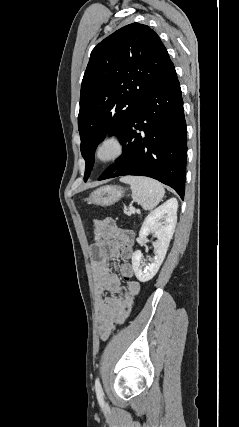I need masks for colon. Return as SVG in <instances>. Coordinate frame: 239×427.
<instances>
[{
	"mask_svg": "<svg viewBox=\"0 0 239 427\" xmlns=\"http://www.w3.org/2000/svg\"><path fill=\"white\" fill-rule=\"evenodd\" d=\"M128 258H123L122 259V266L123 267H125V268H123V270H122V273H123V275H125V276H128V275H130V273H131V270H130V268H128V267H130L131 266V259L129 258L130 256L128 255L127 256Z\"/></svg>",
	"mask_w": 239,
	"mask_h": 427,
	"instance_id": "1",
	"label": "colon"
}]
</instances>
